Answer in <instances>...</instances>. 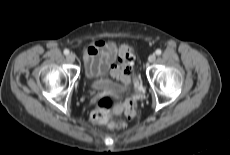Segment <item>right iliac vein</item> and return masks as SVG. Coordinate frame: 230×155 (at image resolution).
<instances>
[{"instance_id":"right-iliac-vein-1","label":"right iliac vein","mask_w":230,"mask_h":155,"mask_svg":"<svg viewBox=\"0 0 230 155\" xmlns=\"http://www.w3.org/2000/svg\"><path fill=\"white\" fill-rule=\"evenodd\" d=\"M67 61L70 63L74 62L75 61V55L73 53H69L67 55Z\"/></svg>"}]
</instances>
